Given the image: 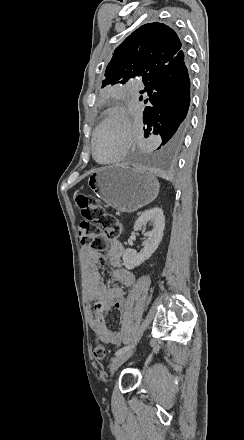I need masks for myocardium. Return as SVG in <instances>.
I'll return each instance as SVG.
<instances>
[{
  "label": "myocardium",
  "mask_w": 244,
  "mask_h": 440,
  "mask_svg": "<svg viewBox=\"0 0 244 440\" xmlns=\"http://www.w3.org/2000/svg\"><path fill=\"white\" fill-rule=\"evenodd\" d=\"M121 114L124 118V124L118 126L117 132H118V155L114 158L107 159L105 161H101L96 156V150H95V141L98 133L103 129V127L106 126L107 123H113L118 116ZM131 112L124 108V107H118L116 110H110L109 114L106 115V118L103 120L104 122L101 123L100 126H98L92 135V141H91V152L93 159L100 165H118L121 161L124 160L126 155L125 150V132L128 127L131 125ZM114 118V119H113Z\"/></svg>",
  "instance_id": "obj_1"
}]
</instances>
